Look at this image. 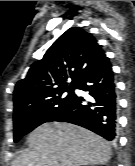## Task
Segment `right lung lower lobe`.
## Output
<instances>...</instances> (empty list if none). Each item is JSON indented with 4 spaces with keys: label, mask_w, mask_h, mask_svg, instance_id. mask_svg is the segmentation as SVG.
Returning a JSON list of instances; mask_svg holds the SVG:
<instances>
[{
    "label": "right lung lower lobe",
    "mask_w": 135,
    "mask_h": 166,
    "mask_svg": "<svg viewBox=\"0 0 135 166\" xmlns=\"http://www.w3.org/2000/svg\"><path fill=\"white\" fill-rule=\"evenodd\" d=\"M75 89L89 92L93 100L84 104L86 100L75 95L73 103L52 121L77 124L107 140H114L117 128V95L109 59L84 75Z\"/></svg>",
    "instance_id": "obj_1"
}]
</instances>
